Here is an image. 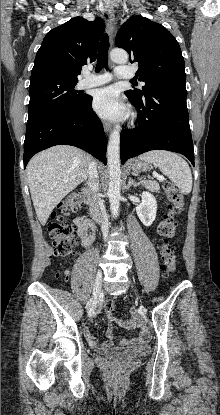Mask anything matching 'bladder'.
Wrapping results in <instances>:
<instances>
[{
  "label": "bladder",
  "mask_w": 220,
  "mask_h": 415,
  "mask_svg": "<svg viewBox=\"0 0 220 415\" xmlns=\"http://www.w3.org/2000/svg\"><path fill=\"white\" fill-rule=\"evenodd\" d=\"M150 351L148 345L142 344L128 348H114L100 352V354L109 360L117 362H125L145 356Z\"/></svg>",
  "instance_id": "31cf9c89"
}]
</instances>
